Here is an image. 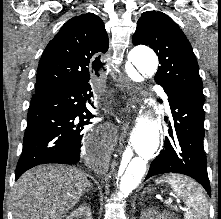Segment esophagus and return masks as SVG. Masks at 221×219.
Segmentation results:
<instances>
[{
	"label": "esophagus",
	"instance_id": "34e87169",
	"mask_svg": "<svg viewBox=\"0 0 221 219\" xmlns=\"http://www.w3.org/2000/svg\"><path fill=\"white\" fill-rule=\"evenodd\" d=\"M124 87L126 89V96L124 98L125 105L123 111H127L130 109V106L136 101V90L127 78H124Z\"/></svg>",
	"mask_w": 221,
	"mask_h": 219
}]
</instances>
